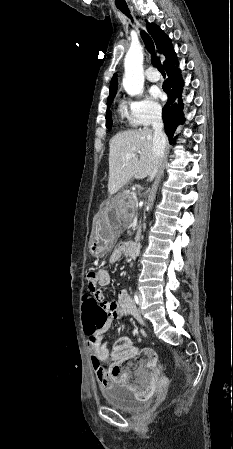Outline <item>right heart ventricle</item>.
I'll return each mask as SVG.
<instances>
[{
    "mask_svg": "<svg viewBox=\"0 0 233 449\" xmlns=\"http://www.w3.org/2000/svg\"><path fill=\"white\" fill-rule=\"evenodd\" d=\"M118 112L120 115L126 118V121L129 125L136 126L138 124L132 116L131 109L127 103L121 101L118 105Z\"/></svg>",
    "mask_w": 233,
    "mask_h": 449,
    "instance_id": "obj_1",
    "label": "right heart ventricle"
}]
</instances>
